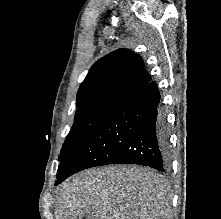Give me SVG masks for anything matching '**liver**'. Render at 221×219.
I'll list each match as a JSON object with an SVG mask.
<instances>
[{
	"label": "liver",
	"mask_w": 221,
	"mask_h": 219,
	"mask_svg": "<svg viewBox=\"0 0 221 219\" xmlns=\"http://www.w3.org/2000/svg\"><path fill=\"white\" fill-rule=\"evenodd\" d=\"M171 200L163 178L149 168H94L60 185L55 219H170Z\"/></svg>",
	"instance_id": "6515ba94"
}]
</instances>
